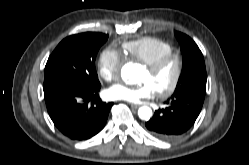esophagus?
<instances>
[{"label": "esophagus", "mask_w": 249, "mask_h": 165, "mask_svg": "<svg viewBox=\"0 0 249 165\" xmlns=\"http://www.w3.org/2000/svg\"><path fill=\"white\" fill-rule=\"evenodd\" d=\"M130 106H131L132 108H138V107H139L138 104H130Z\"/></svg>", "instance_id": "1"}]
</instances>
